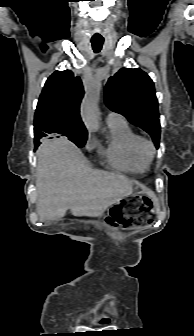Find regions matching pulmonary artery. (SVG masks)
<instances>
[{"label":"pulmonary artery","mask_w":194,"mask_h":336,"mask_svg":"<svg viewBox=\"0 0 194 336\" xmlns=\"http://www.w3.org/2000/svg\"><path fill=\"white\" fill-rule=\"evenodd\" d=\"M108 126L118 125L125 122V119L118 113L109 112L106 117Z\"/></svg>","instance_id":"1"}]
</instances>
